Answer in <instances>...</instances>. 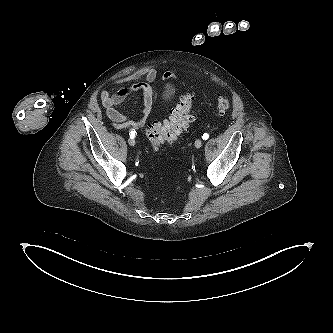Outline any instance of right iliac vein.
I'll return each mask as SVG.
<instances>
[{
  "mask_svg": "<svg viewBox=\"0 0 333 333\" xmlns=\"http://www.w3.org/2000/svg\"><path fill=\"white\" fill-rule=\"evenodd\" d=\"M129 145L134 146L135 145V140L133 138H130L128 140Z\"/></svg>",
  "mask_w": 333,
  "mask_h": 333,
  "instance_id": "1",
  "label": "right iliac vein"
}]
</instances>
